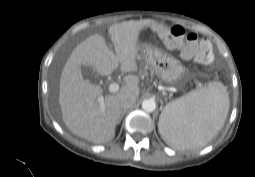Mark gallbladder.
Wrapping results in <instances>:
<instances>
[{
    "instance_id": "obj_1",
    "label": "gallbladder",
    "mask_w": 255,
    "mask_h": 177,
    "mask_svg": "<svg viewBox=\"0 0 255 177\" xmlns=\"http://www.w3.org/2000/svg\"><path fill=\"white\" fill-rule=\"evenodd\" d=\"M85 72H86L87 75H90L88 70H86Z\"/></svg>"
}]
</instances>
